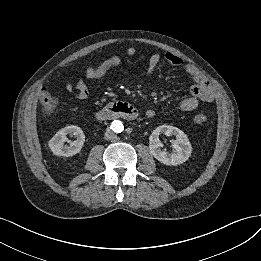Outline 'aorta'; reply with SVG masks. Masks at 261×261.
<instances>
[{"label": "aorta", "mask_w": 261, "mask_h": 261, "mask_svg": "<svg viewBox=\"0 0 261 261\" xmlns=\"http://www.w3.org/2000/svg\"><path fill=\"white\" fill-rule=\"evenodd\" d=\"M111 129L116 133H121L124 130V125L121 120H114L111 123Z\"/></svg>", "instance_id": "aorta-1"}]
</instances>
